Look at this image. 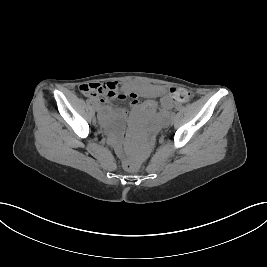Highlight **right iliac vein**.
Listing matches in <instances>:
<instances>
[{
    "instance_id": "right-iliac-vein-1",
    "label": "right iliac vein",
    "mask_w": 267,
    "mask_h": 267,
    "mask_svg": "<svg viewBox=\"0 0 267 267\" xmlns=\"http://www.w3.org/2000/svg\"><path fill=\"white\" fill-rule=\"evenodd\" d=\"M94 109H95L96 111H99V106L96 104V105L94 106Z\"/></svg>"
}]
</instances>
